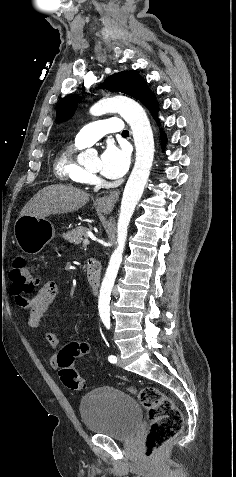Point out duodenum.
<instances>
[{
	"label": "duodenum",
	"instance_id": "1",
	"mask_svg": "<svg viewBox=\"0 0 236 477\" xmlns=\"http://www.w3.org/2000/svg\"><path fill=\"white\" fill-rule=\"evenodd\" d=\"M101 276V266L96 259L87 260L86 281L91 290L96 291L99 287Z\"/></svg>",
	"mask_w": 236,
	"mask_h": 477
}]
</instances>
